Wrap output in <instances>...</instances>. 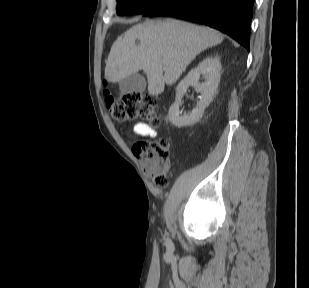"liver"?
Segmentation results:
<instances>
[{"label":"liver","instance_id":"liver-1","mask_svg":"<svg viewBox=\"0 0 309 288\" xmlns=\"http://www.w3.org/2000/svg\"><path fill=\"white\" fill-rule=\"evenodd\" d=\"M215 29L175 19L145 21L132 26L113 43L105 67L107 81L116 83L143 70L148 93L158 96L174 84L198 54L220 44Z\"/></svg>","mask_w":309,"mask_h":288}]
</instances>
